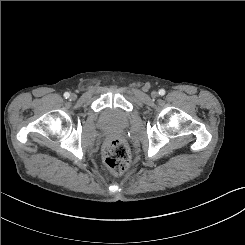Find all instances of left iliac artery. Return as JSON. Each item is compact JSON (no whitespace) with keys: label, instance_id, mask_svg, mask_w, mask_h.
<instances>
[{"label":"left iliac artery","instance_id":"44dca946","mask_svg":"<svg viewBox=\"0 0 245 245\" xmlns=\"http://www.w3.org/2000/svg\"><path fill=\"white\" fill-rule=\"evenodd\" d=\"M165 94V90L164 89H160L159 90V95L163 96Z\"/></svg>","mask_w":245,"mask_h":245}]
</instances>
